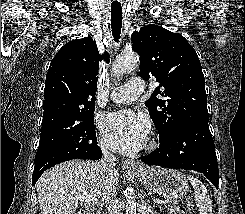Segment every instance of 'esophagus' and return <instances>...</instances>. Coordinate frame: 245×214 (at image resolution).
Segmentation results:
<instances>
[{
    "label": "esophagus",
    "instance_id": "1",
    "mask_svg": "<svg viewBox=\"0 0 245 214\" xmlns=\"http://www.w3.org/2000/svg\"><path fill=\"white\" fill-rule=\"evenodd\" d=\"M125 165L126 166H130V167H140L141 164L139 162H135L134 160H126L125 161Z\"/></svg>",
    "mask_w": 245,
    "mask_h": 214
}]
</instances>
